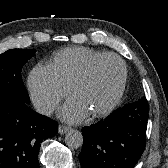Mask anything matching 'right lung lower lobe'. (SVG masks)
<instances>
[{
    "mask_svg": "<svg viewBox=\"0 0 168 168\" xmlns=\"http://www.w3.org/2000/svg\"><path fill=\"white\" fill-rule=\"evenodd\" d=\"M57 129L27 103L0 98V168H39L40 145Z\"/></svg>",
    "mask_w": 168,
    "mask_h": 168,
    "instance_id": "98d812e1",
    "label": "right lung lower lobe"
}]
</instances>
